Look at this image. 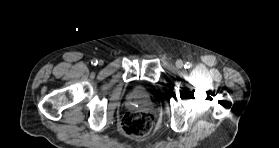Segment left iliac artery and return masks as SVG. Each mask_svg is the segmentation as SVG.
<instances>
[{
	"label": "left iliac artery",
	"instance_id": "44dca946",
	"mask_svg": "<svg viewBox=\"0 0 279 148\" xmlns=\"http://www.w3.org/2000/svg\"><path fill=\"white\" fill-rule=\"evenodd\" d=\"M184 67H185V68H190V67H191V63L186 62L185 65H184Z\"/></svg>",
	"mask_w": 279,
	"mask_h": 148
}]
</instances>
